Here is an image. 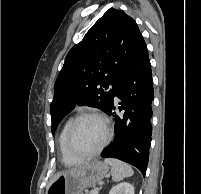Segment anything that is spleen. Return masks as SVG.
Masks as SVG:
<instances>
[{
  "label": "spleen",
  "instance_id": "spleen-1",
  "mask_svg": "<svg viewBox=\"0 0 201 194\" xmlns=\"http://www.w3.org/2000/svg\"><path fill=\"white\" fill-rule=\"evenodd\" d=\"M104 162L111 166V175L114 182H118L126 177H130L134 173L130 165L120 160L107 158L104 160Z\"/></svg>",
  "mask_w": 201,
  "mask_h": 194
}]
</instances>
